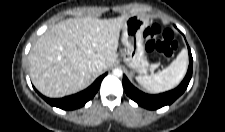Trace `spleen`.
Returning a JSON list of instances; mask_svg holds the SVG:
<instances>
[{
    "label": "spleen",
    "mask_w": 225,
    "mask_h": 132,
    "mask_svg": "<svg viewBox=\"0 0 225 132\" xmlns=\"http://www.w3.org/2000/svg\"><path fill=\"white\" fill-rule=\"evenodd\" d=\"M188 66V53L181 50L165 69L150 76H137V82L150 92L160 93L176 87L184 78Z\"/></svg>",
    "instance_id": "1"
}]
</instances>
